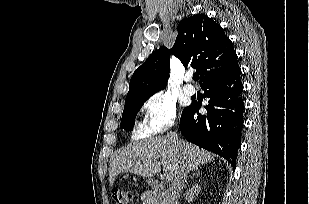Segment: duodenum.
Segmentation results:
<instances>
[{"instance_id":"duodenum-1","label":"duodenum","mask_w":309,"mask_h":204,"mask_svg":"<svg viewBox=\"0 0 309 204\" xmlns=\"http://www.w3.org/2000/svg\"><path fill=\"white\" fill-rule=\"evenodd\" d=\"M151 204H164L167 200V191L163 184L156 179L149 180Z\"/></svg>"}]
</instances>
